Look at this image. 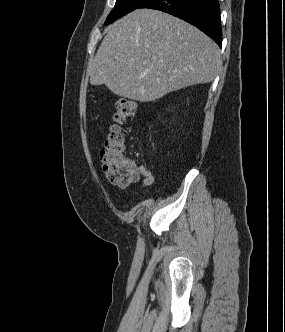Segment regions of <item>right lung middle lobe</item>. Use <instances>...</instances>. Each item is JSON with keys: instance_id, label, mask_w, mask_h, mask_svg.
I'll list each match as a JSON object with an SVG mask.
<instances>
[{"instance_id": "right-lung-middle-lobe-1", "label": "right lung middle lobe", "mask_w": 285, "mask_h": 332, "mask_svg": "<svg viewBox=\"0 0 285 332\" xmlns=\"http://www.w3.org/2000/svg\"><path fill=\"white\" fill-rule=\"evenodd\" d=\"M146 0H116L115 7L108 15L105 25H108L115 21L117 18L124 16L125 14L137 9Z\"/></svg>"}]
</instances>
